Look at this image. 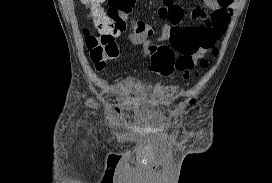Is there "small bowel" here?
Segmentation results:
<instances>
[{
	"label": "small bowel",
	"instance_id": "small-bowel-1",
	"mask_svg": "<svg viewBox=\"0 0 272 183\" xmlns=\"http://www.w3.org/2000/svg\"><path fill=\"white\" fill-rule=\"evenodd\" d=\"M204 6L191 10L189 18L197 25H184V10L180 2L161 0L157 7L160 18L165 21L160 41H168L175 51L176 70L186 71L211 51L227 30L235 0H203ZM129 40L147 51L153 41L154 30L144 21L132 20ZM121 33V32H120ZM118 33L117 35H119ZM116 35V36H117ZM121 110L115 108L108 114L109 119H117Z\"/></svg>",
	"mask_w": 272,
	"mask_h": 183
}]
</instances>
